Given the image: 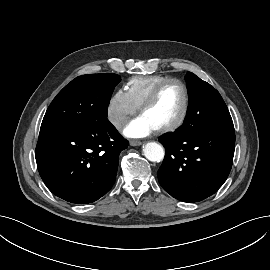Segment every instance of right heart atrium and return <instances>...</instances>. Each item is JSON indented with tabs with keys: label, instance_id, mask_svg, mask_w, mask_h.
<instances>
[{
	"label": "right heart atrium",
	"instance_id": "1",
	"mask_svg": "<svg viewBox=\"0 0 270 270\" xmlns=\"http://www.w3.org/2000/svg\"><path fill=\"white\" fill-rule=\"evenodd\" d=\"M136 111L137 108L131 102L126 92L122 89H118L112 93L108 100L106 116L108 122L116 130H121Z\"/></svg>",
	"mask_w": 270,
	"mask_h": 270
}]
</instances>
